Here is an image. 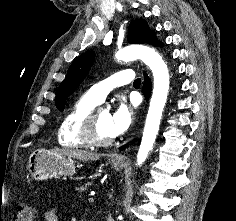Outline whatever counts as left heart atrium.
<instances>
[{
	"label": "left heart atrium",
	"instance_id": "39dd6f15",
	"mask_svg": "<svg viewBox=\"0 0 236 221\" xmlns=\"http://www.w3.org/2000/svg\"><path fill=\"white\" fill-rule=\"evenodd\" d=\"M134 120V109L124 102H120L110 114V131L113 137L123 134Z\"/></svg>",
	"mask_w": 236,
	"mask_h": 221
}]
</instances>
